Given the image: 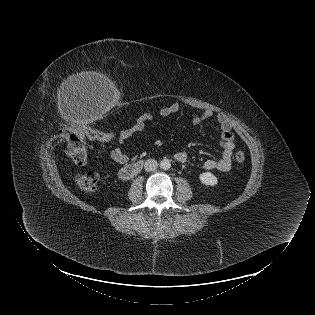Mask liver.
Instances as JSON below:
<instances>
[{"mask_svg":"<svg viewBox=\"0 0 315 315\" xmlns=\"http://www.w3.org/2000/svg\"><path fill=\"white\" fill-rule=\"evenodd\" d=\"M85 83H109V79L104 74H99L94 71H84L78 74H73L63 83L62 89L76 88L79 84Z\"/></svg>","mask_w":315,"mask_h":315,"instance_id":"6515ba94","label":"liver"}]
</instances>
